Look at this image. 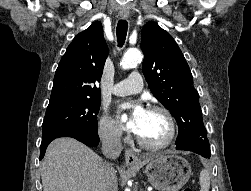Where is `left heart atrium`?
Segmentation results:
<instances>
[{
    "instance_id": "1",
    "label": "left heart atrium",
    "mask_w": 251,
    "mask_h": 191,
    "mask_svg": "<svg viewBox=\"0 0 251 191\" xmlns=\"http://www.w3.org/2000/svg\"><path fill=\"white\" fill-rule=\"evenodd\" d=\"M118 112L120 115L126 117L124 128L139 134L148 114V110L139 103H123L119 105Z\"/></svg>"
}]
</instances>
